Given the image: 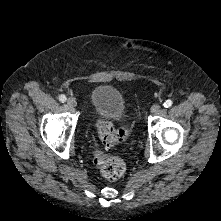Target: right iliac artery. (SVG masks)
I'll use <instances>...</instances> for the list:
<instances>
[{
  "mask_svg": "<svg viewBox=\"0 0 221 221\" xmlns=\"http://www.w3.org/2000/svg\"><path fill=\"white\" fill-rule=\"evenodd\" d=\"M59 101L62 102V103H64V102L66 101V96L63 95V94H61V95L59 96Z\"/></svg>",
  "mask_w": 221,
  "mask_h": 221,
  "instance_id": "1",
  "label": "right iliac artery"
}]
</instances>
